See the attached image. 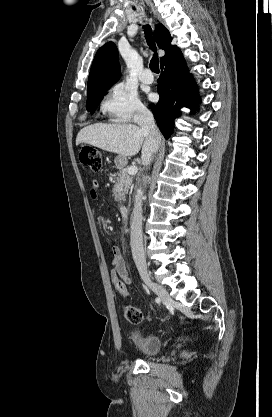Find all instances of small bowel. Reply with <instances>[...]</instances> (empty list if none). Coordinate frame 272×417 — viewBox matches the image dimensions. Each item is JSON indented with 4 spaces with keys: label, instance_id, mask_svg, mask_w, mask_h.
Listing matches in <instances>:
<instances>
[{
    "label": "small bowel",
    "instance_id": "small-bowel-1",
    "mask_svg": "<svg viewBox=\"0 0 272 417\" xmlns=\"http://www.w3.org/2000/svg\"><path fill=\"white\" fill-rule=\"evenodd\" d=\"M99 183L93 181L90 189V197L93 200L98 198ZM111 252L113 255L112 265L114 269L111 271V278L114 281L116 278L121 279L126 285L132 283L131 278L129 277V272L125 259L123 258L120 248L117 245L112 246Z\"/></svg>",
    "mask_w": 272,
    "mask_h": 417
}]
</instances>
